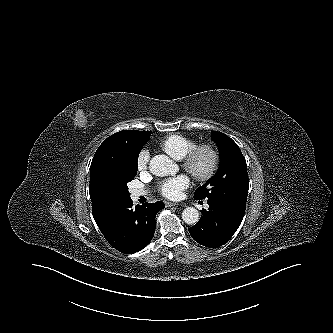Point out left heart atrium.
<instances>
[{"label": "left heart atrium", "mask_w": 333, "mask_h": 333, "mask_svg": "<svg viewBox=\"0 0 333 333\" xmlns=\"http://www.w3.org/2000/svg\"><path fill=\"white\" fill-rule=\"evenodd\" d=\"M189 184V177L187 175L181 174L163 180L159 184V191L167 198L176 199L181 196L183 190L188 188Z\"/></svg>", "instance_id": "left-heart-atrium-1"}]
</instances>
